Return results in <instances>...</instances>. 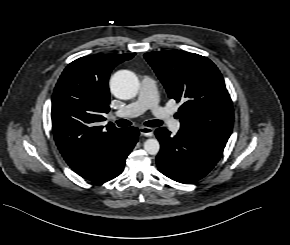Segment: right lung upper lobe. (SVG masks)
I'll use <instances>...</instances> for the list:
<instances>
[{
    "instance_id": "right-lung-upper-lobe-1",
    "label": "right lung upper lobe",
    "mask_w": 290,
    "mask_h": 245,
    "mask_svg": "<svg viewBox=\"0 0 290 245\" xmlns=\"http://www.w3.org/2000/svg\"><path fill=\"white\" fill-rule=\"evenodd\" d=\"M135 53L96 54L71 62L61 74L52 97V130L67 164L77 173L102 163L123 143L124 128L105 120L109 111L108 80L112 69Z\"/></svg>"
}]
</instances>
